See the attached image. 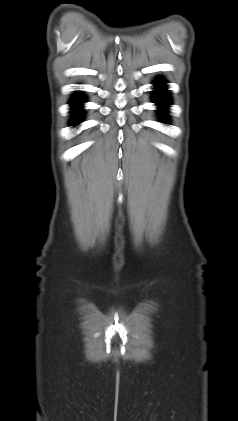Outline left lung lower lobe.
<instances>
[{
	"label": "left lung lower lobe",
	"instance_id": "1",
	"mask_svg": "<svg viewBox=\"0 0 238 421\" xmlns=\"http://www.w3.org/2000/svg\"><path fill=\"white\" fill-rule=\"evenodd\" d=\"M159 86L156 87V89L153 91L154 94V101L161 105V106H166L170 103V97L168 95V91L164 88V82L163 80L159 79L157 80ZM166 111H163L162 115L164 118V115Z\"/></svg>",
	"mask_w": 238,
	"mask_h": 421
}]
</instances>
